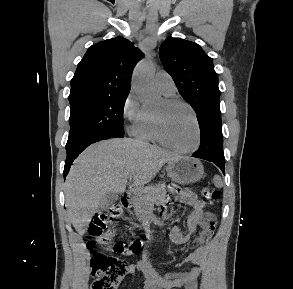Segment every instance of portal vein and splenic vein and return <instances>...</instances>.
Wrapping results in <instances>:
<instances>
[{
  "instance_id": "1",
  "label": "portal vein and splenic vein",
  "mask_w": 293,
  "mask_h": 289,
  "mask_svg": "<svg viewBox=\"0 0 293 289\" xmlns=\"http://www.w3.org/2000/svg\"><path fill=\"white\" fill-rule=\"evenodd\" d=\"M131 179H132V177L130 176V177H129V180H131ZM139 190H141V189H139Z\"/></svg>"
}]
</instances>
